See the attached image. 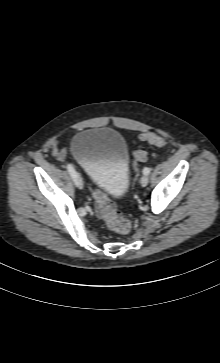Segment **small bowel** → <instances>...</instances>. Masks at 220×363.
I'll list each match as a JSON object with an SVG mask.
<instances>
[{
  "label": "small bowel",
  "instance_id": "small-bowel-1",
  "mask_svg": "<svg viewBox=\"0 0 220 363\" xmlns=\"http://www.w3.org/2000/svg\"><path fill=\"white\" fill-rule=\"evenodd\" d=\"M55 156L58 157L60 160H64L66 156V151L61 149H55Z\"/></svg>",
  "mask_w": 220,
  "mask_h": 363
}]
</instances>
